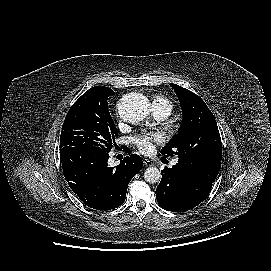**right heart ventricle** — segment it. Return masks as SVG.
I'll return each mask as SVG.
<instances>
[{"instance_id":"e07e8e85","label":"right heart ventricle","mask_w":271,"mask_h":271,"mask_svg":"<svg viewBox=\"0 0 271 271\" xmlns=\"http://www.w3.org/2000/svg\"><path fill=\"white\" fill-rule=\"evenodd\" d=\"M156 104L162 105V106H166L168 107L170 110H172V104L170 101H168L166 98L164 97H157L155 100Z\"/></svg>"}]
</instances>
